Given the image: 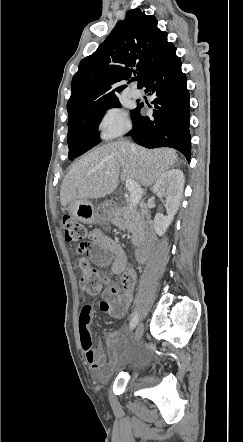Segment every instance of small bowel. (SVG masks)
<instances>
[{"label":"small bowel","mask_w":243,"mask_h":442,"mask_svg":"<svg viewBox=\"0 0 243 442\" xmlns=\"http://www.w3.org/2000/svg\"><path fill=\"white\" fill-rule=\"evenodd\" d=\"M89 238L94 247L89 251L90 259L97 265L109 267L110 271L120 277L118 284H114L109 278H104L106 287L101 291V300L98 303L100 311L113 319H120L127 313L132 300L133 289L137 275L133 268L129 267L126 254L122 247L103 231L93 229ZM94 317V305L85 303L81 307L78 316V328L81 346L85 361L90 365L96 379L107 377L120 356V343L122 336L115 331L107 337V349L109 358L104 351L101 341L94 342L91 331V323Z\"/></svg>","instance_id":"obj_1"}]
</instances>
